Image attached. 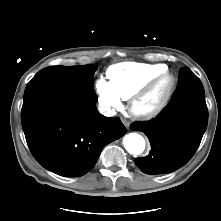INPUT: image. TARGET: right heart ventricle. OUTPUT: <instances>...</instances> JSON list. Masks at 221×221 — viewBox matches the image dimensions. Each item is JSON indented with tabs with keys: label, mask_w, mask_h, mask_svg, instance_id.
I'll list each match as a JSON object with an SVG mask.
<instances>
[{
	"label": "right heart ventricle",
	"mask_w": 221,
	"mask_h": 221,
	"mask_svg": "<svg viewBox=\"0 0 221 221\" xmlns=\"http://www.w3.org/2000/svg\"><path fill=\"white\" fill-rule=\"evenodd\" d=\"M167 70L164 64L120 63L107 69L109 83L123 100H128L158 74Z\"/></svg>",
	"instance_id": "e07e8e85"
}]
</instances>
